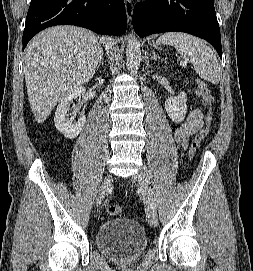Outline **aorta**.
<instances>
[{
  "label": "aorta",
  "mask_w": 253,
  "mask_h": 271,
  "mask_svg": "<svg viewBox=\"0 0 253 271\" xmlns=\"http://www.w3.org/2000/svg\"><path fill=\"white\" fill-rule=\"evenodd\" d=\"M127 67L132 74L137 73L141 62L140 42L134 36L129 37L126 46Z\"/></svg>",
  "instance_id": "aorta-1"
}]
</instances>
